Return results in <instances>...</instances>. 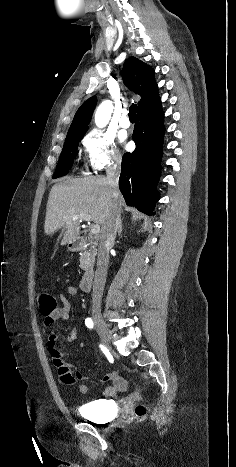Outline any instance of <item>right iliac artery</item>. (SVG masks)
Listing matches in <instances>:
<instances>
[{
  "label": "right iliac artery",
  "mask_w": 236,
  "mask_h": 467,
  "mask_svg": "<svg viewBox=\"0 0 236 467\" xmlns=\"http://www.w3.org/2000/svg\"><path fill=\"white\" fill-rule=\"evenodd\" d=\"M85 324H86V326H87L88 328H90V329H92V328L94 327V323H93V321H92L91 318H87V319L85 320Z\"/></svg>",
  "instance_id": "82829eb1"
}]
</instances>
